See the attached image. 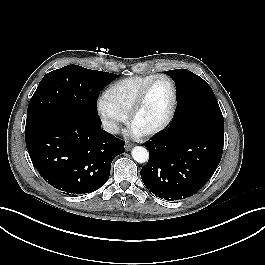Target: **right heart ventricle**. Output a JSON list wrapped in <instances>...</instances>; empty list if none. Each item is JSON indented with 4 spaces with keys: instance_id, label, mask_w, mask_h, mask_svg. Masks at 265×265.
Here are the masks:
<instances>
[{
    "instance_id": "e07e8e85",
    "label": "right heart ventricle",
    "mask_w": 265,
    "mask_h": 265,
    "mask_svg": "<svg viewBox=\"0 0 265 265\" xmlns=\"http://www.w3.org/2000/svg\"><path fill=\"white\" fill-rule=\"evenodd\" d=\"M154 76L138 75L118 80L105 91L104 100L110 107L127 117L138 94Z\"/></svg>"
}]
</instances>
